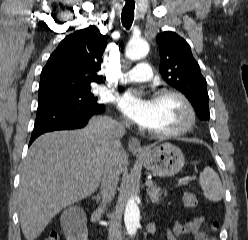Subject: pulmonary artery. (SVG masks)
<instances>
[{"mask_svg":"<svg viewBox=\"0 0 248 240\" xmlns=\"http://www.w3.org/2000/svg\"><path fill=\"white\" fill-rule=\"evenodd\" d=\"M152 77L150 65L146 62L138 63L132 70L121 73L119 81L121 83L146 82Z\"/></svg>","mask_w":248,"mask_h":240,"instance_id":"pulmonary-artery-1","label":"pulmonary artery"}]
</instances>
